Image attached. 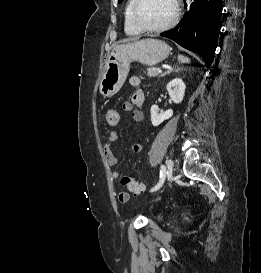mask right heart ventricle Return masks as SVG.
I'll use <instances>...</instances> for the list:
<instances>
[{
    "label": "right heart ventricle",
    "instance_id": "obj_1",
    "mask_svg": "<svg viewBox=\"0 0 261 273\" xmlns=\"http://www.w3.org/2000/svg\"><path fill=\"white\" fill-rule=\"evenodd\" d=\"M133 0H128L126 8H125V13H124V30L128 35H137L139 34V31L136 30L133 25L131 24L130 21V8L132 5Z\"/></svg>",
    "mask_w": 261,
    "mask_h": 273
}]
</instances>
